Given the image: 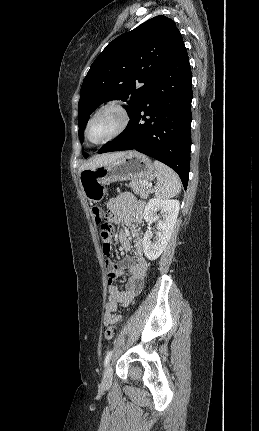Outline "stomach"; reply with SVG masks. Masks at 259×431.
Listing matches in <instances>:
<instances>
[{"label":"stomach","mask_w":259,"mask_h":431,"mask_svg":"<svg viewBox=\"0 0 259 431\" xmlns=\"http://www.w3.org/2000/svg\"><path fill=\"white\" fill-rule=\"evenodd\" d=\"M155 176L154 164L149 157L137 151H127L115 161L81 171L79 180L85 197L90 202H99L106 195V186L112 182L151 181Z\"/></svg>","instance_id":"1"}]
</instances>
